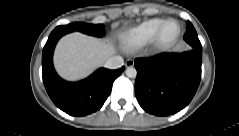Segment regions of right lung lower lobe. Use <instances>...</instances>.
Instances as JSON below:
<instances>
[{
  "mask_svg": "<svg viewBox=\"0 0 239 136\" xmlns=\"http://www.w3.org/2000/svg\"><path fill=\"white\" fill-rule=\"evenodd\" d=\"M63 32L55 28L42 55V77L46 91L54 104L72 116H85L99 110L109 96L114 80L124 67L117 70L100 68L88 78L71 83L61 79L53 66V52Z\"/></svg>",
  "mask_w": 239,
  "mask_h": 136,
  "instance_id": "right-lung-lower-lobe-1",
  "label": "right lung lower lobe"
}]
</instances>
